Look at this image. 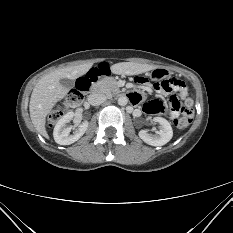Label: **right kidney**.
Segmentation results:
<instances>
[{"label":"right kidney","instance_id":"1","mask_svg":"<svg viewBox=\"0 0 233 233\" xmlns=\"http://www.w3.org/2000/svg\"><path fill=\"white\" fill-rule=\"evenodd\" d=\"M74 116V112H68L57 122L53 131L56 143L60 145H70L79 140L86 132L89 124L88 121L83 122L73 134H70L72 126H68L67 123L70 122Z\"/></svg>","mask_w":233,"mask_h":233}]
</instances>
